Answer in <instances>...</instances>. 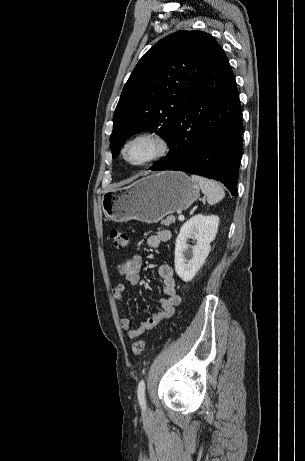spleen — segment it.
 I'll return each instance as SVG.
<instances>
[{"label": "spleen", "instance_id": "spleen-1", "mask_svg": "<svg viewBox=\"0 0 305 461\" xmlns=\"http://www.w3.org/2000/svg\"><path fill=\"white\" fill-rule=\"evenodd\" d=\"M191 179L200 186L210 205H214L224 198V189L217 182L198 175H192Z\"/></svg>", "mask_w": 305, "mask_h": 461}]
</instances>
